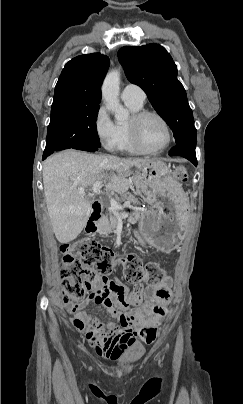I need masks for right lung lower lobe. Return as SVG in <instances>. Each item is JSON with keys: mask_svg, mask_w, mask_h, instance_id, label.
Wrapping results in <instances>:
<instances>
[{"mask_svg": "<svg viewBox=\"0 0 243 404\" xmlns=\"http://www.w3.org/2000/svg\"><path fill=\"white\" fill-rule=\"evenodd\" d=\"M73 149L94 152V151H97L99 149V147H94V146H75Z\"/></svg>", "mask_w": 243, "mask_h": 404, "instance_id": "1", "label": "right lung lower lobe"}]
</instances>
